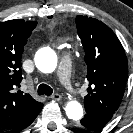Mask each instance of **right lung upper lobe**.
<instances>
[{
	"label": "right lung upper lobe",
	"instance_id": "1",
	"mask_svg": "<svg viewBox=\"0 0 133 133\" xmlns=\"http://www.w3.org/2000/svg\"><path fill=\"white\" fill-rule=\"evenodd\" d=\"M36 21L0 23V127L11 130L42 106L29 94L16 91L22 80L21 57Z\"/></svg>",
	"mask_w": 133,
	"mask_h": 133
}]
</instances>
